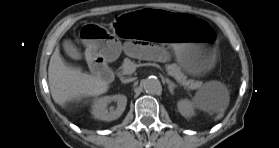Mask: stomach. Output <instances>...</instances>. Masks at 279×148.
Returning a JSON list of instances; mask_svg holds the SVG:
<instances>
[{"label": "stomach", "instance_id": "0dacf381", "mask_svg": "<svg viewBox=\"0 0 279 148\" xmlns=\"http://www.w3.org/2000/svg\"><path fill=\"white\" fill-rule=\"evenodd\" d=\"M120 36L137 38L155 45L175 47L176 60L183 70L199 76L213 67L218 38L216 24L200 14L166 12L144 8L121 14L114 21H87L76 30L75 42L84 53L105 59L116 58L121 51Z\"/></svg>", "mask_w": 279, "mask_h": 148}]
</instances>
